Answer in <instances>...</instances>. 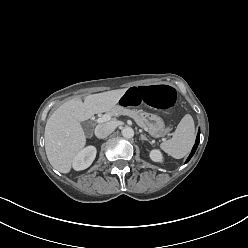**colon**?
<instances>
[{
  "label": "colon",
  "mask_w": 248,
  "mask_h": 248,
  "mask_svg": "<svg viewBox=\"0 0 248 248\" xmlns=\"http://www.w3.org/2000/svg\"><path fill=\"white\" fill-rule=\"evenodd\" d=\"M120 103L124 107L149 104L161 110H170L177 104V93L173 87L165 84L133 87L121 96Z\"/></svg>",
  "instance_id": "5ec220e1"
}]
</instances>
